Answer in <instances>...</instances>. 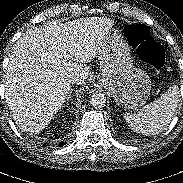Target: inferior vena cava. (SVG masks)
<instances>
[{"label": "inferior vena cava", "mask_w": 183, "mask_h": 183, "mask_svg": "<svg viewBox=\"0 0 183 183\" xmlns=\"http://www.w3.org/2000/svg\"><path fill=\"white\" fill-rule=\"evenodd\" d=\"M67 80L69 83H72V84H81V82H82L80 75L77 73H71L68 76Z\"/></svg>", "instance_id": "1"}]
</instances>
